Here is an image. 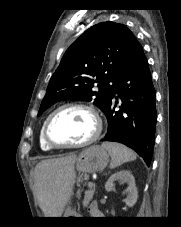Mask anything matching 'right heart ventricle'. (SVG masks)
<instances>
[{"label": "right heart ventricle", "instance_id": "1", "mask_svg": "<svg viewBox=\"0 0 181 227\" xmlns=\"http://www.w3.org/2000/svg\"><path fill=\"white\" fill-rule=\"evenodd\" d=\"M45 121H46V120H45ZM45 121H44V123H45ZM44 123H43V125H42V127H41V130H40V136H39L40 146H41V148H42L43 150L49 151V150H51V149H53V148L47 144V142L45 141V139H44V137H43V127H44Z\"/></svg>", "mask_w": 181, "mask_h": 227}]
</instances>
